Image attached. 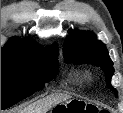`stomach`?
Returning a JSON list of instances; mask_svg holds the SVG:
<instances>
[{
    "label": "stomach",
    "mask_w": 123,
    "mask_h": 113,
    "mask_svg": "<svg viewBox=\"0 0 123 113\" xmlns=\"http://www.w3.org/2000/svg\"><path fill=\"white\" fill-rule=\"evenodd\" d=\"M87 104L78 99H72L69 101H66L65 103L57 104L53 107V112H66V113H72V112H79L82 110H86Z\"/></svg>",
    "instance_id": "obj_1"
}]
</instances>
